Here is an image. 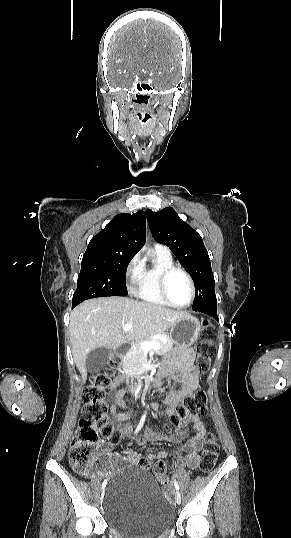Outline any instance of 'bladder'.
I'll return each instance as SVG.
<instances>
[{
    "label": "bladder",
    "instance_id": "1",
    "mask_svg": "<svg viewBox=\"0 0 291 538\" xmlns=\"http://www.w3.org/2000/svg\"><path fill=\"white\" fill-rule=\"evenodd\" d=\"M109 480L101 501L109 527L133 538H151L172 526L174 509L148 472L126 466Z\"/></svg>",
    "mask_w": 291,
    "mask_h": 538
}]
</instances>
